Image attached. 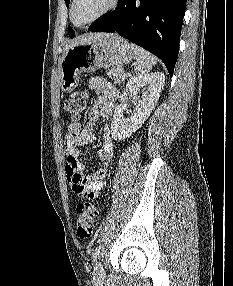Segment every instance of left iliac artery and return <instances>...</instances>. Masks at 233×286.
I'll use <instances>...</instances> for the list:
<instances>
[{"mask_svg": "<svg viewBox=\"0 0 233 286\" xmlns=\"http://www.w3.org/2000/svg\"><path fill=\"white\" fill-rule=\"evenodd\" d=\"M99 253H100V246H97L94 250V253H93V261H97V257L99 256Z\"/></svg>", "mask_w": 233, "mask_h": 286, "instance_id": "44dca946", "label": "left iliac artery"}]
</instances>
